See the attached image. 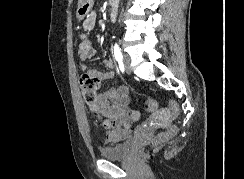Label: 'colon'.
I'll list each match as a JSON object with an SVG mask.
<instances>
[{"mask_svg": "<svg viewBox=\"0 0 244 179\" xmlns=\"http://www.w3.org/2000/svg\"><path fill=\"white\" fill-rule=\"evenodd\" d=\"M80 90L82 93V97L86 106L90 112H92L95 116L99 117V113L97 112L96 107V94L100 87V80L98 77L93 75H82L79 80ZM144 106L146 112H150L151 109H157L158 105L156 101H144ZM168 107L170 110L168 111L169 117L168 120L172 121L174 115H179L181 112V107H177V102L174 99H171L168 102ZM131 118L138 120L140 112L134 110L131 112ZM129 118L128 122L130 123L132 120ZM102 124L105 128H110L112 123L107 119L101 118ZM167 133H163V137H160V142H170V138H176V133H178V126L177 125H167Z\"/></svg>", "mask_w": 244, "mask_h": 179, "instance_id": "1", "label": "colon"}]
</instances>
